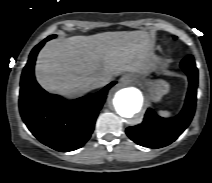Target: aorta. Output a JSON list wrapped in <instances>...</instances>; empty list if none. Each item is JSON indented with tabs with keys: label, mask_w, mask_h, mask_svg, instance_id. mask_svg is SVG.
Instances as JSON below:
<instances>
[{
	"label": "aorta",
	"mask_w": 212,
	"mask_h": 183,
	"mask_svg": "<svg viewBox=\"0 0 212 183\" xmlns=\"http://www.w3.org/2000/svg\"><path fill=\"white\" fill-rule=\"evenodd\" d=\"M142 104V94L134 87H127L117 91L113 99L116 112L124 118H132L136 113L140 112Z\"/></svg>",
	"instance_id": "762f6f07"
}]
</instances>
